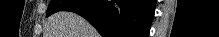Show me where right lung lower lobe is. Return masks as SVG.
<instances>
[{
	"label": "right lung lower lobe",
	"instance_id": "right-lung-lower-lobe-1",
	"mask_svg": "<svg viewBox=\"0 0 219 37\" xmlns=\"http://www.w3.org/2000/svg\"><path fill=\"white\" fill-rule=\"evenodd\" d=\"M155 0H77L61 11L84 17L103 37H148Z\"/></svg>",
	"mask_w": 219,
	"mask_h": 37
}]
</instances>
